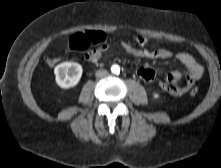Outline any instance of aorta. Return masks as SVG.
Instances as JSON below:
<instances>
[{"label": "aorta", "instance_id": "1", "mask_svg": "<svg viewBox=\"0 0 221 168\" xmlns=\"http://www.w3.org/2000/svg\"><path fill=\"white\" fill-rule=\"evenodd\" d=\"M111 71H112V73H114V74H119L120 73V67H119V65H113L112 67H111Z\"/></svg>", "mask_w": 221, "mask_h": 168}]
</instances>
